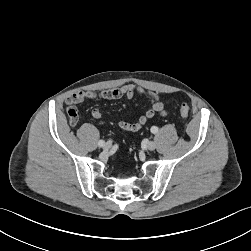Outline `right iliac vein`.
I'll return each mask as SVG.
<instances>
[{
  "label": "right iliac vein",
  "mask_w": 251,
  "mask_h": 251,
  "mask_svg": "<svg viewBox=\"0 0 251 251\" xmlns=\"http://www.w3.org/2000/svg\"><path fill=\"white\" fill-rule=\"evenodd\" d=\"M112 146V143L111 142H107L105 143V145L103 146L104 150H109Z\"/></svg>",
  "instance_id": "obj_1"
}]
</instances>
